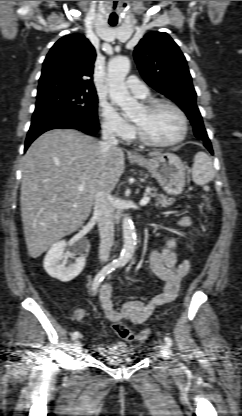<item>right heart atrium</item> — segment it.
<instances>
[{"label":"right heart atrium","instance_id":"right-heart-atrium-1","mask_svg":"<svg viewBox=\"0 0 242 416\" xmlns=\"http://www.w3.org/2000/svg\"><path fill=\"white\" fill-rule=\"evenodd\" d=\"M101 125L103 130L117 138L129 139L133 129L128 120L123 118L110 104L100 106Z\"/></svg>","mask_w":242,"mask_h":416}]
</instances>
